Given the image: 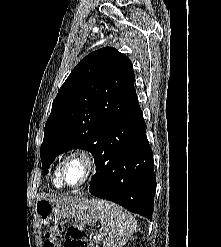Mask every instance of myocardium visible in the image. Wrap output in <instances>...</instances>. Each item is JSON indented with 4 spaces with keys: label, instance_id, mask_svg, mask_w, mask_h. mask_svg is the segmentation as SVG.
I'll return each instance as SVG.
<instances>
[{
    "label": "myocardium",
    "instance_id": "myocardium-1",
    "mask_svg": "<svg viewBox=\"0 0 221 247\" xmlns=\"http://www.w3.org/2000/svg\"><path fill=\"white\" fill-rule=\"evenodd\" d=\"M73 159H78L82 161L85 167V175L82 180L76 184H69L65 179V170L69 161ZM96 171V159L91 151L85 148H77L70 151L65 158L62 160L60 169H59V178L63 185L68 188H78L84 184H86Z\"/></svg>",
    "mask_w": 221,
    "mask_h": 247
}]
</instances>
